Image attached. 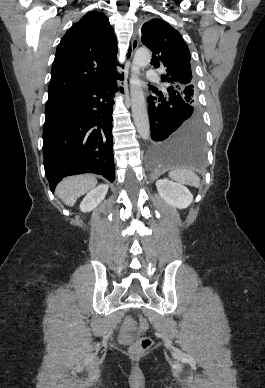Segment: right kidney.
Listing matches in <instances>:
<instances>
[{"label":"right kidney","mask_w":265,"mask_h":388,"mask_svg":"<svg viewBox=\"0 0 265 388\" xmlns=\"http://www.w3.org/2000/svg\"><path fill=\"white\" fill-rule=\"evenodd\" d=\"M107 192V184H101V186H97V188L91 190L89 194H86L80 204L81 212H92V210H95L98 204H101L102 200H104Z\"/></svg>","instance_id":"ca27d5eb"}]
</instances>
